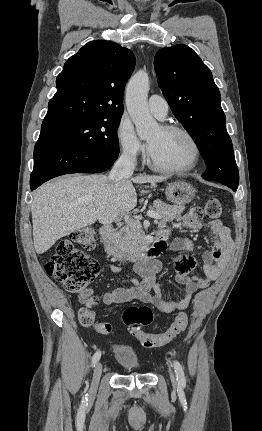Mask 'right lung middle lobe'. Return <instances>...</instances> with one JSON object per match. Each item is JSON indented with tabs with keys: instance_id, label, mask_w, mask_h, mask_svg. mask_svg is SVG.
I'll return each instance as SVG.
<instances>
[{
	"instance_id": "1",
	"label": "right lung middle lobe",
	"mask_w": 262,
	"mask_h": 431,
	"mask_svg": "<svg viewBox=\"0 0 262 431\" xmlns=\"http://www.w3.org/2000/svg\"><path fill=\"white\" fill-rule=\"evenodd\" d=\"M120 118L121 116L89 117L42 125L39 138L68 141L117 157L119 142L116 131Z\"/></svg>"
}]
</instances>
